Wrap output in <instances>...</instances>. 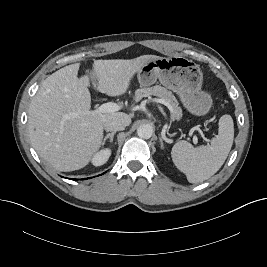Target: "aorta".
<instances>
[{"mask_svg":"<svg viewBox=\"0 0 267 267\" xmlns=\"http://www.w3.org/2000/svg\"><path fill=\"white\" fill-rule=\"evenodd\" d=\"M137 134L140 138L149 139L153 134V128L149 124L140 125L137 128Z\"/></svg>","mask_w":267,"mask_h":267,"instance_id":"aorta-1","label":"aorta"}]
</instances>
